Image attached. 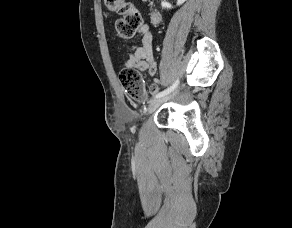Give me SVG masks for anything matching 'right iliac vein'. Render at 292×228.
<instances>
[{"mask_svg": "<svg viewBox=\"0 0 292 228\" xmlns=\"http://www.w3.org/2000/svg\"><path fill=\"white\" fill-rule=\"evenodd\" d=\"M172 95L170 96H166L163 98H158V99H154L150 102L149 107H148V111L149 112H153L154 110H156L164 101H166L167 99H169Z\"/></svg>", "mask_w": 292, "mask_h": 228, "instance_id": "obj_1", "label": "right iliac vein"}]
</instances>
